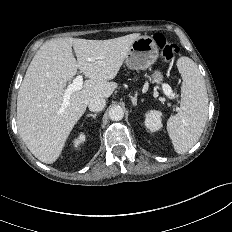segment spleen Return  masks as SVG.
<instances>
[{
    "label": "spleen",
    "mask_w": 232,
    "mask_h": 232,
    "mask_svg": "<svg viewBox=\"0 0 232 232\" xmlns=\"http://www.w3.org/2000/svg\"><path fill=\"white\" fill-rule=\"evenodd\" d=\"M183 82L180 110L167 121V130L177 153L187 152L201 137L208 115L204 79L196 63L188 57L177 60Z\"/></svg>",
    "instance_id": "obj_1"
}]
</instances>
